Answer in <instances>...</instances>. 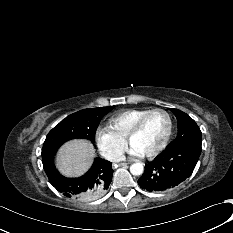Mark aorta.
Returning <instances> with one entry per match:
<instances>
[{"label":"aorta","instance_id":"762f6f07","mask_svg":"<svg viewBox=\"0 0 233 233\" xmlns=\"http://www.w3.org/2000/svg\"><path fill=\"white\" fill-rule=\"evenodd\" d=\"M144 167L141 163H134L130 166V172L132 175L139 176L143 173Z\"/></svg>","mask_w":233,"mask_h":233}]
</instances>
